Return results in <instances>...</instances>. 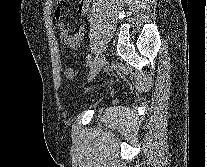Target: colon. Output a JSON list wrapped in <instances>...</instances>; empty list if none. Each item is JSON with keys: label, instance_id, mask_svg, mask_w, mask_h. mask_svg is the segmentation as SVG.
Segmentation results:
<instances>
[{"label": "colon", "instance_id": "1", "mask_svg": "<svg viewBox=\"0 0 207 167\" xmlns=\"http://www.w3.org/2000/svg\"><path fill=\"white\" fill-rule=\"evenodd\" d=\"M77 72L70 66H66L64 69V75L67 79L72 80L76 77Z\"/></svg>", "mask_w": 207, "mask_h": 167}]
</instances>
